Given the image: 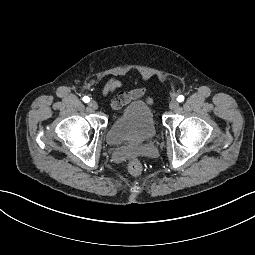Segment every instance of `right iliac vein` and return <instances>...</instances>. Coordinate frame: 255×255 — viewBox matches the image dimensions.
I'll list each match as a JSON object with an SVG mask.
<instances>
[{
	"mask_svg": "<svg viewBox=\"0 0 255 255\" xmlns=\"http://www.w3.org/2000/svg\"><path fill=\"white\" fill-rule=\"evenodd\" d=\"M88 106H89V108L92 109V110H96V109L98 108V104H97V102L94 101V100H91V101L88 103Z\"/></svg>",
	"mask_w": 255,
	"mask_h": 255,
	"instance_id": "63e3f726",
	"label": "right iliac vein"
}]
</instances>
